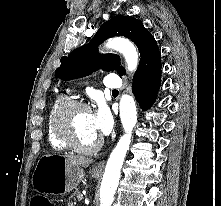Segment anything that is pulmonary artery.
<instances>
[{
  "label": "pulmonary artery",
  "instance_id": "1",
  "mask_svg": "<svg viewBox=\"0 0 221 206\" xmlns=\"http://www.w3.org/2000/svg\"><path fill=\"white\" fill-rule=\"evenodd\" d=\"M103 85L107 88L118 90L122 87V80L116 74H109L104 77Z\"/></svg>",
  "mask_w": 221,
  "mask_h": 206
}]
</instances>
